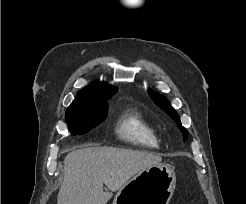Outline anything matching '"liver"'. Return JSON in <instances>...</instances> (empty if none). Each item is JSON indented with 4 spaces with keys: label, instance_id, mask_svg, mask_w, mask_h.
<instances>
[{
    "label": "liver",
    "instance_id": "obj_1",
    "mask_svg": "<svg viewBox=\"0 0 246 204\" xmlns=\"http://www.w3.org/2000/svg\"><path fill=\"white\" fill-rule=\"evenodd\" d=\"M162 158L154 153L115 147H83L64 159V180L57 204H106L134 175ZM103 184L109 191L103 190Z\"/></svg>",
    "mask_w": 246,
    "mask_h": 204
}]
</instances>
